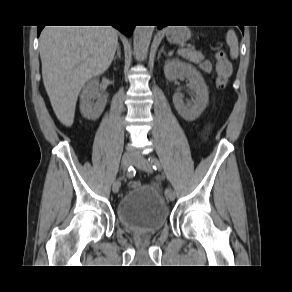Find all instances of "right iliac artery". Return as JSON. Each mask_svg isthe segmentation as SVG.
I'll list each match as a JSON object with an SVG mask.
<instances>
[{"label":"right iliac artery","mask_w":292,"mask_h":292,"mask_svg":"<svg viewBox=\"0 0 292 292\" xmlns=\"http://www.w3.org/2000/svg\"><path fill=\"white\" fill-rule=\"evenodd\" d=\"M135 176V169L131 166L128 168L127 171V177L128 178H133ZM117 182V186L119 187L120 185H122V180L116 179Z\"/></svg>","instance_id":"82829eb1"}]
</instances>
